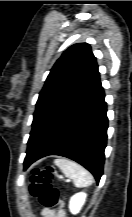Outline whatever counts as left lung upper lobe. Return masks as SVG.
<instances>
[{
    "instance_id": "left-lung-upper-lobe-1",
    "label": "left lung upper lobe",
    "mask_w": 132,
    "mask_h": 217,
    "mask_svg": "<svg viewBox=\"0 0 132 217\" xmlns=\"http://www.w3.org/2000/svg\"><path fill=\"white\" fill-rule=\"evenodd\" d=\"M98 74L96 58L89 44L72 45L62 54L51 69L39 94L27 153L39 142L55 119L80 96Z\"/></svg>"
}]
</instances>
